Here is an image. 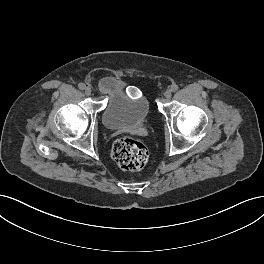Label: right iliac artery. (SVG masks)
I'll return each instance as SVG.
<instances>
[{
	"mask_svg": "<svg viewBox=\"0 0 264 264\" xmlns=\"http://www.w3.org/2000/svg\"><path fill=\"white\" fill-rule=\"evenodd\" d=\"M78 87H79V89L84 90L86 86H85L84 83H80V84L78 85Z\"/></svg>",
	"mask_w": 264,
	"mask_h": 264,
	"instance_id": "82829eb1",
	"label": "right iliac artery"
}]
</instances>
